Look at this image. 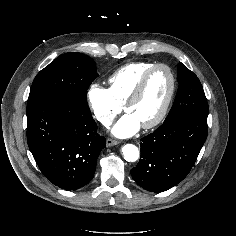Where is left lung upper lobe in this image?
Listing matches in <instances>:
<instances>
[{
  "mask_svg": "<svg viewBox=\"0 0 236 236\" xmlns=\"http://www.w3.org/2000/svg\"><path fill=\"white\" fill-rule=\"evenodd\" d=\"M179 88L165 121L179 116H208V103L197 76L181 62L177 66ZM164 121V122H165Z\"/></svg>",
  "mask_w": 236,
  "mask_h": 236,
  "instance_id": "left-lung-upper-lobe-1",
  "label": "left lung upper lobe"
}]
</instances>
